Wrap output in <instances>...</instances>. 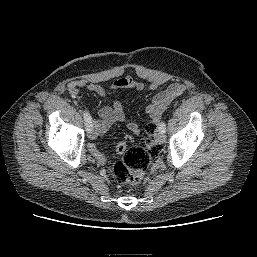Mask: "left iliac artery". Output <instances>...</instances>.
I'll list each match as a JSON object with an SVG mask.
<instances>
[{
  "instance_id": "1",
  "label": "left iliac artery",
  "mask_w": 257,
  "mask_h": 257,
  "mask_svg": "<svg viewBox=\"0 0 257 257\" xmlns=\"http://www.w3.org/2000/svg\"><path fill=\"white\" fill-rule=\"evenodd\" d=\"M159 129L164 133L166 132V124L164 121L159 124Z\"/></svg>"
}]
</instances>
